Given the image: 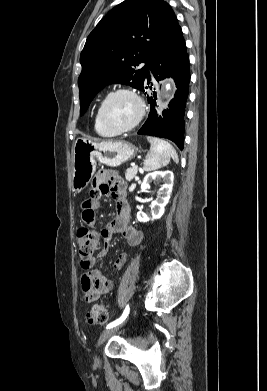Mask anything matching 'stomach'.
I'll list each match as a JSON object with an SVG mask.
<instances>
[{"instance_id": "0dacf381", "label": "stomach", "mask_w": 267, "mask_h": 391, "mask_svg": "<svg viewBox=\"0 0 267 391\" xmlns=\"http://www.w3.org/2000/svg\"><path fill=\"white\" fill-rule=\"evenodd\" d=\"M139 149L128 142H98L88 138H78L72 153V190L78 193L89 184L99 161L110 167H118L132 160Z\"/></svg>"}]
</instances>
